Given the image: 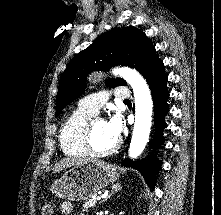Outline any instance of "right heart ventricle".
<instances>
[{
  "label": "right heart ventricle",
  "mask_w": 221,
  "mask_h": 215,
  "mask_svg": "<svg viewBox=\"0 0 221 215\" xmlns=\"http://www.w3.org/2000/svg\"><path fill=\"white\" fill-rule=\"evenodd\" d=\"M95 114L78 107L66 119L60 129L59 142L63 152L69 156H86L84 132L88 120Z\"/></svg>",
  "instance_id": "obj_1"
}]
</instances>
